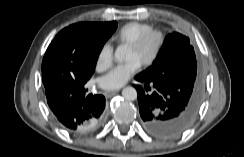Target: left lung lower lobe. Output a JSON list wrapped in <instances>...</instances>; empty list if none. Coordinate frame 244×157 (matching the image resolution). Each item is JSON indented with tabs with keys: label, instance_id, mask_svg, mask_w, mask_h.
I'll return each instance as SVG.
<instances>
[{
	"label": "left lung lower lobe",
	"instance_id": "1",
	"mask_svg": "<svg viewBox=\"0 0 244 157\" xmlns=\"http://www.w3.org/2000/svg\"><path fill=\"white\" fill-rule=\"evenodd\" d=\"M135 78L145 84L144 87L134 85L144 127L161 138L181 135L193 122L198 107L171 93L156 79L141 75Z\"/></svg>",
	"mask_w": 244,
	"mask_h": 157
}]
</instances>
